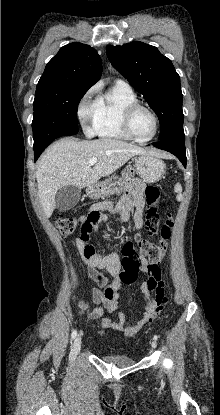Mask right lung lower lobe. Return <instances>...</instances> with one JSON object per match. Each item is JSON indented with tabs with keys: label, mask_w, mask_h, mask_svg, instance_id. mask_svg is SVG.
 <instances>
[{
	"label": "right lung lower lobe",
	"mask_w": 220,
	"mask_h": 415,
	"mask_svg": "<svg viewBox=\"0 0 220 415\" xmlns=\"http://www.w3.org/2000/svg\"><path fill=\"white\" fill-rule=\"evenodd\" d=\"M44 149L45 148H39L34 150V161H36L39 158L40 154L43 152Z\"/></svg>",
	"instance_id": "1"
}]
</instances>
